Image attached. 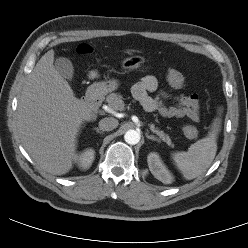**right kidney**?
Listing matches in <instances>:
<instances>
[{
    "label": "right kidney",
    "mask_w": 248,
    "mask_h": 248,
    "mask_svg": "<svg viewBox=\"0 0 248 248\" xmlns=\"http://www.w3.org/2000/svg\"><path fill=\"white\" fill-rule=\"evenodd\" d=\"M95 158V151L93 149H86L76 157L78 166L86 170L90 168Z\"/></svg>",
    "instance_id": "ca27d5eb"
}]
</instances>
